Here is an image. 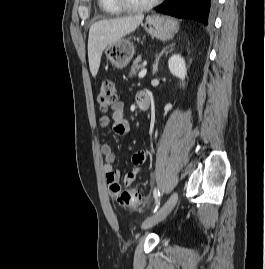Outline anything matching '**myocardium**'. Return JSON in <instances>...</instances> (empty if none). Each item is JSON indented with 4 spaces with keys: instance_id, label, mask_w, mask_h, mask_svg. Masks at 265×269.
<instances>
[{
    "instance_id": "1",
    "label": "myocardium",
    "mask_w": 265,
    "mask_h": 269,
    "mask_svg": "<svg viewBox=\"0 0 265 269\" xmlns=\"http://www.w3.org/2000/svg\"><path fill=\"white\" fill-rule=\"evenodd\" d=\"M116 5L126 11H144L155 7L163 0H150L146 3L136 4L129 0H113Z\"/></svg>"
}]
</instances>
